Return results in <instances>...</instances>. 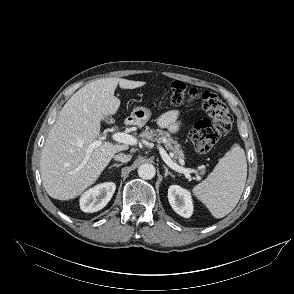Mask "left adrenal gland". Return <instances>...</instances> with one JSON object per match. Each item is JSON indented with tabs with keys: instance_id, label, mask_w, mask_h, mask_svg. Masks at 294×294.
Instances as JSON below:
<instances>
[{
	"instance_id": "a2214340",
	"label": "left adrenal gland",
	"mask_w": 294,
	"mask_h": 294,
	"mask_svg": "<svg viewBox=\"0 0 294 294\" xmlns=\"http://www.w3.org/2000/svg\"><path fill=\"white\" fill-rule=\"evenodd\" d=\"M164 169H165V174H164V177L166 178L168 175L174 177V175L168 171V168L166 166H164Z\"/></svg>"
}]
</instances>
